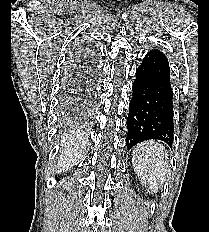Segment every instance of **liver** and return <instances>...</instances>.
<instances>
[{"instance_id": "obj_1", "label": "liver", "mask_w": 209, "mask_h": 232, "mask_svg": "<svg viewBox=\"0 0 209 232\" xmlns=\"http://www.w3.org/2000/svg\"><path fill=\"white\" fill-rule=\"evenodd\" d=\"M86 141L80 136L71 135L63 139L58 160V168L56 173L68 171L77 165L84 157L86 150Z\"/></svg>"}]
</instances>
